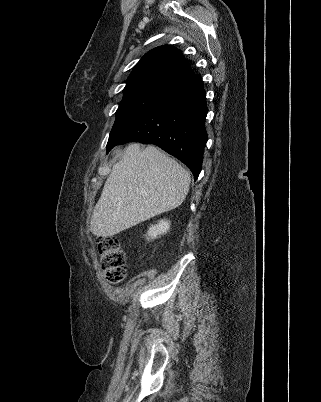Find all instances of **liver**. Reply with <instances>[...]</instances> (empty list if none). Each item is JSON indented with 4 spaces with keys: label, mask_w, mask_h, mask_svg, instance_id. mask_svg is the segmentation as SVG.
I'll return each mask as SVG.
<instances>
[{
    "label": "liver",
    "mask_w": 321,
    "mask_h": 402,
    "mask_svg": "<svg viewBox=\"0 0 321 402\" xmlns=\"http://www.w3.org/2000/svg\"><path fill=\"white\" fill-rule=\"evenodd\" d=\"M190 180L175 159L155 146L129 145L105 182L90 231L110 237L175 209L186 198Z\"/></svg>",
    "instance_id": "obj_1"
}]
</instances>
